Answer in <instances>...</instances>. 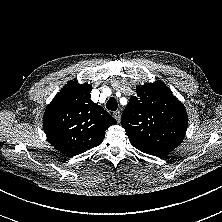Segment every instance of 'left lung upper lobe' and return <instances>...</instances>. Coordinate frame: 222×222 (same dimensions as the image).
I'll return each instance as SVG.
<instances>
[{"label": "left lung upper lobe", "mask_w": 222, "mask_h": 222, "mask_svg": "<svg viewBox=\"0 0 222 222\" xmlns=\"http://www.w3.org/2000/svg\"><path fill=\"white\" fill-rule=\"evenodd\" d=\"M121 115L133 146L175 149L184 139L188 117L183 104L162 82L140 85Z\"/></svg>", "instance_id": "5c2ea615"}]
</instances>
